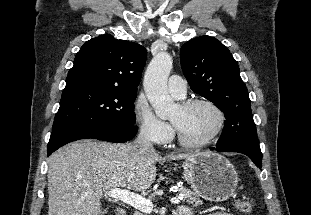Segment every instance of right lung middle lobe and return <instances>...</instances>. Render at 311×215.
I'll return each mask as SVG.
<instances>
[{
	"instance_id": "right-lung-middle-lobe-1",
	"label": "right lung middle lobe",
	"mask_w": 311,
	"mask_h": 215,
	"mask_svg": "<svg viewBox=\"0 0 311 215\" xmlns=\"http://www.w3.org/2000/svg\"><path fill=\"white\" fill-rule=\"evenodd\" d=\"M136 91L112 87L75 84L66 86L52 131L69 127H136Z\"/></svg>"
}]
</instances>
